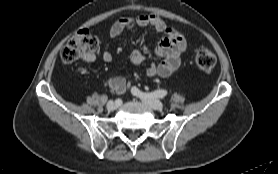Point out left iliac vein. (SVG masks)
I'll return each mask as SVG.
<instances>
[{
  "mask_svg": "<svg viewBox=\"0 0 278 174\" xmlns=\"http://www.w3.org/2000/svg\"><path fill=\"white\" fill-rule=\"evenodd\" d=\"M145 104L154 110H161L163 103L157 99L140 98Z\"/></svg>",
  "mask_w": 278,
  "mask_h": 174,
  "instance_id": "obj_1",
  "label": "left iliac vein"
}]
</instances>
